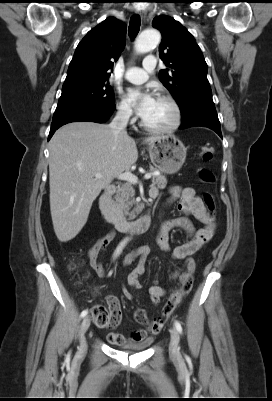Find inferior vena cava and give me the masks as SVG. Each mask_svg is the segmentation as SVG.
Listing matches in <instances>:
<instances>
[{"mask_svg":"<svg viewBox=\"0 0 272 401\" xmlns=\"http://www.w3.org/2000/svg\"><path fill=\"white\" fill-rule=\"evenodd\" d=\"M131 115V112L129 110H120L117 112L116 116L112 120V122L109 124V127L112 129L115 137L118 136H123L127 137V123L129 120V117Z\"/></svg>","mask_w":272,"mask_h":401,"instance_id":"obj_1","label":"inferior vena cava"}]
</instances>
